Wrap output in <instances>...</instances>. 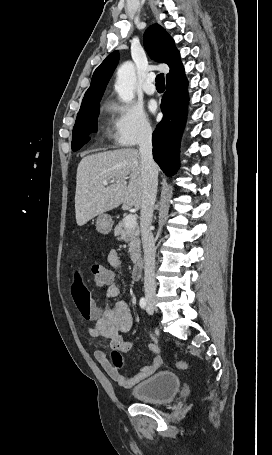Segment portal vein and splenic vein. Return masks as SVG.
Returning <instances> with one entry per match:
<instances>
[{"label": "portal vein and splenic vein", "instance_id": "obj_1", "mask_svg": "<svg viewBox=\"0 0 272 455\" xmlns=\"http://www.w3.org/2000/svg\"><path fill=\"white\" fill-rule=\"evenodd\" d=\"M104 185H108V181L107 180H104L102 182ZM124 224H125V227L127 228H131L133 226H135L137 224L136 222V216L133 215V214H129L127 215L125 218H124Z\"/></svg>", "mask_w": 272, "mask_h": 455}]
</instances>
